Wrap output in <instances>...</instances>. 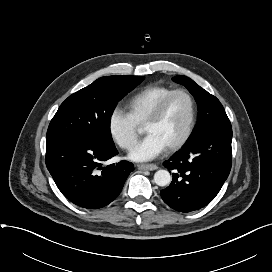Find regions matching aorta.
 Wrapping results in <instances>:
<instances>
[{
  "instance_id": "1",
  "label": "aorta",
  "mask_w": 272,
  "mask_h": 272,
  "mask_svg": "<svg viewBox=\"0 0 272 272\" xmlns=\"http://www.w3.org/2000/svg\"><path fill=\"white\" fill-rule=\"evenodd\" d=\"M154 182L161 187L169 185L171 182V175L167 170H158L154 174Z\"/></svg>"
}]
</instances>
